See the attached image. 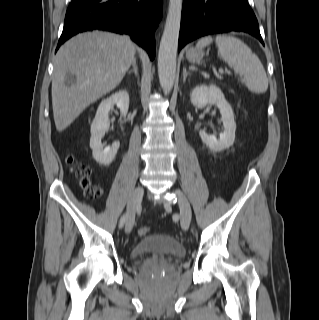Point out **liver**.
Segmentation results:
<instances>
[{
  "instance_id": "liver-1",
  "label": "liver",
  "mask_w": 319,
  "mask_h": 320,
  "mask_svg": "<svg viewBox=\"0 0 319 320\" xmlns=\"http://www.w3.org/2000/svg\"><path fill=\"white\" fill-rule=\"evenodd\" d=\"M135 45L126 35L92 31L78 34L58 50L52 78L56 130H65L90 104L122 81L133 63ZM76 78L66 84V75Z\"/></svg>"
}]
</instances>
